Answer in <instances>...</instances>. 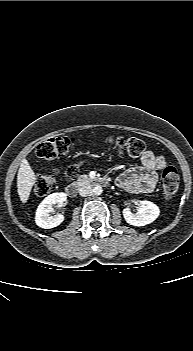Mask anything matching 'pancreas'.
Listing matches in <instances>:
<instances>
[{"label": "pancreas", "mask_w": 193, "mask_h": 351, "mask_svg": "<svg viewBox=\"0 0 193 351\" xmlns=\"http://www.w3.org/2000/svg\"><path fill=\"white\" fill-rule=\"evenodd\" d=\"M90 181H91V179L87 175H81V176H79L77 183L81 184V183L90 182Z\"/></svg>", "instance_id": "cf45deb5"}]
</instances>
